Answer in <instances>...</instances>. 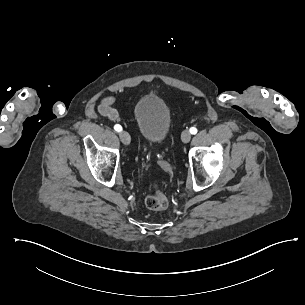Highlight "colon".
Returning <instances> with one entry per match:
<instances>
[{
    "mask_svg": "<svg viewBox=\"0 0 305 305\" xmlns=\"http://www.w3.org/2000/svg\"><path fill=\"white\" fill-rule=\"evenodd\" d=\"M145 204L153 211L164 210L168 205V198L164 193L157 191L154 194L146 196Z\"/></svg>",
    "mask_w": 305,
    "mask_h": 305,
    "instance_id": "5ec220e1",
    "label": "colon"
}]
</instances>
